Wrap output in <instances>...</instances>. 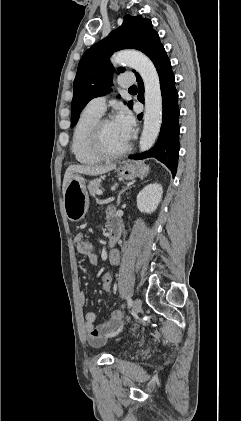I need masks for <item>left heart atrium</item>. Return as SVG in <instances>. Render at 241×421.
Masks as SVG:
<instances>
[{
	"label": "left heart atrium",
	"mask_w": 241,
	"mask_h": 421,
	"mask_svg": "<svg viewBox=\"0 0 241 421\" xmlns=\"http://www.w3.org/2000/svg\"><path fill=\"white\" fill-rule=\"evenodd\" d=\"M113 122L127 140L132 137L135 130V121L127 109H120Z\"/></svg>",
	"instance_id": "obj_1"
}]
</instances>
